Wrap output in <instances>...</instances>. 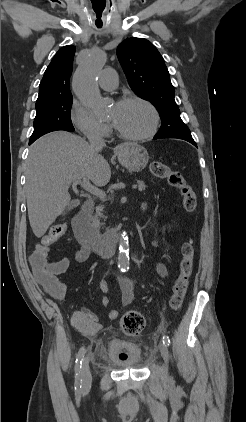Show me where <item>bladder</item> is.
I'll return each mask as SVG.
<instances>
[{
    "instance_id": "bladder-1",
    "label": "bladder",
    "mask_w": 246,
    "mask_h": 422,
    "mask_svg": "<svg viewBox=\"0 0 246 422\" xmlns=\"http://www.w3.org/2000/svg\"><path fill=\"white\" fill-rule=\"evenodd\" d=\"M105 355L122 368H139L144 360L143 349L139 344L121 338H111L107 342Z\"/></svg>"
}]
</instances>
